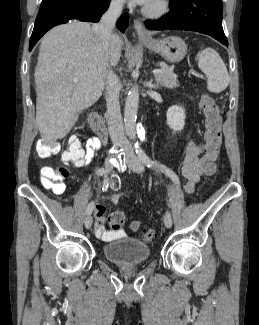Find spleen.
Listing matches in <instances>:
<instances>
[{
  "instance_id": "spleen-1",
  "label": "spleen",
  "mask_w": 259,
  "mask_h": 325,
  "mask_svg": "<svg viewBox=\"0 0 259 325\" xmlns=\"http://www.w3.org/2000/svg\"><path fill=\"white\" fill-rule=\"evenodd\" d=\"M199 69L207 76V89L210 92L220 93L229 84L227 68L220 55L212 48L201 50L197 56Z\"/></svg>"
}]
</instances>
